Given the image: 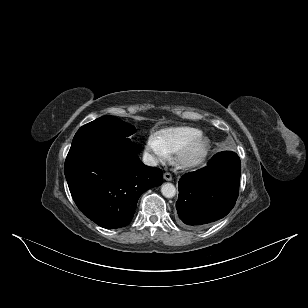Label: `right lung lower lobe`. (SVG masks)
Returning <instances> with one entry per match:
<instances>
[{
  "label": "right lung lower lobe",
  "mask_w": 308,
  "mask_h": 308,
  "mask_svg": "<svg viewBox=\"0 0 308 308\" xmlns=\"http://www.w3.org/2000/svg\"><path fill=\"white\" fill-rule=\"evenodd\" d=\"M65 176L81 212L109 229L129 224L140 195L163 179L160 169L139 160L137 150L116 144L70 148Z\"/></svg>",
  "instance_id": "1"
}]
</instances>
